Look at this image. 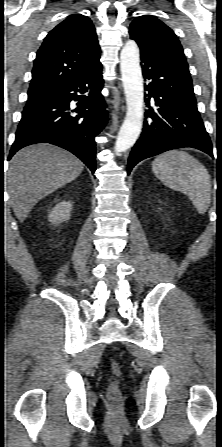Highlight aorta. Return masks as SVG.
Here are the masks:
<instances>
[{"mask_svg": "<svg viewBox=\"0 0 222 447\" xmlns=\"http://www.w3.org/2000/svg\"><path fill=\"white\" fill-rule=\"evenodd\" d=\"M120 59L127 112L115 143V151L118 153L134 145L141 132L144 115L143 78L139 48L135 41L128 40L125 43Z\"/></svg>", "mask_w": 222, "mask_h": 447, "instance_id": "aorta-1", "label": "aorta"}]
</instances>
